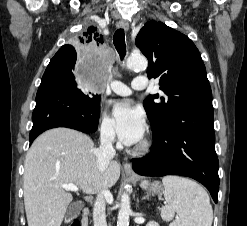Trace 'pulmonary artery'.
Here are the masks:
<instances>
[{
	"label": "pulmonary artery",
	"mask_w": 247,
	"mask_h": 226,
	"mask_svg": "<svg viewBox=\"0 0 247 226\" xmlns=\"http://www.w3.org/2000/svg\"><path fill=\"white\" fill-rule=\"evenodd\" d=\"M110 87L115 94L120 96H128L132 93L133 90H144L147 87V80L143 76L136 77L132 81L131 87L127 86L121 81L114 80L111 82Z\"/></svg>",
	"instance_id": "e3ab8cb5"
}]
</instances>
